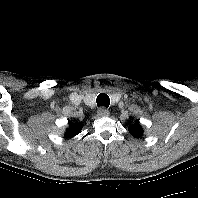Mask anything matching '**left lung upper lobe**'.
Masks as SVG:
<instances>
[{"instance_id": "1", "label": "left lung upper lobe", "mask_w": 198, "mask_h": 198, "mask_svg": "<svg viewBox=\"0 0 198 198\" xmlns=\"http://www.w3.org/2000/svg\"><path fill=\"white\" fill-rule=\"evenodd\" d=\"M129 132L134 137H141L143 135V129L141 128V126L138 123H135L132 126H130Z\"/></svg>"}]
</instances>
